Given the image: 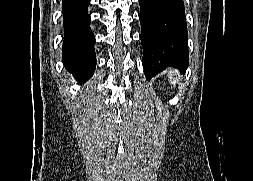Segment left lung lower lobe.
Segmentation results:
<instances>
[{
	"instance_id": "0a47b994",
	"label": "left lung lower lobe",
	"mask_w": 253,
	"mask_h": 181,
	"mask_svg": "<svg viewBox=\"0 0 253 181\" xmlns=\"http://www.w3.org/2000/svg\"><path fill=\"white\" fill-rule=\"evenodd\" d=\"M145 76L168 66L188 67L187 26L183 0H139Z\"/></svg>"
}]
</instances>
